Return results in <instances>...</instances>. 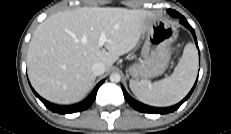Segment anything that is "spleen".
<instances>
[{
	"label": "spleen",
	"mask_w": 231,
	"mask_h": 134,
	"mask_svg": "<svg viewBox=\"0 0 231 134\" xmlns=\"http://www.w3.org/2000/svg\"><path fill=\"white\" fill-rule=\"evenodd\" d=\"M197 70V49L193 43H188L169 77L152 84L130 80L129 86L141 102L155 107H168L178 103L187 95L195 82Z\"/></svg>",
	"instance_id": "3e777b00"
}]
</instances>
